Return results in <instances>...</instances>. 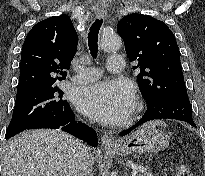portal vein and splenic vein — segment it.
I'll return each instance as SVG.
<instances>
[{"label": "portal vein and splenic vein", "instance_id": "obj_1", "mask_svg": "<svg viewBox=\"0 0 205 176\" xmlns=\"http://www.w3.org/2000/svg\"><path fill=\"white\" fill-rule=\"evenodd\" d=\"M137 172H138V168L134 167L133 170H132V176H136Z\"/></svg>", "mask_w": 205, "mask_h": 176}]
</instances>
